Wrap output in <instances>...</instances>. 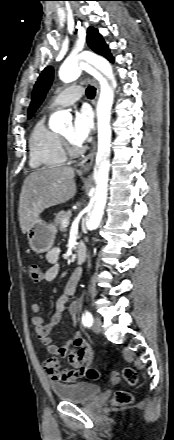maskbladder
<instances>
[{
  "label": "bladder",
  "mask_w": 174,
  "mask_h": 440,
  "mask_svg": "<svg viewBox=\"0 0 174 440\" xmlns=\"http://www.w3.org/2000/svg\"><path fill=\"white\" fill-rule=\"evenodd\" d=\"M50 387L60 401L73 403H87L101 392L90 382L52 383Z\"/></svg>",
  "instance_id": "obj_1"
}]
</instances>
